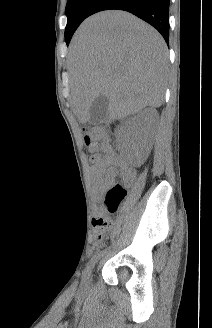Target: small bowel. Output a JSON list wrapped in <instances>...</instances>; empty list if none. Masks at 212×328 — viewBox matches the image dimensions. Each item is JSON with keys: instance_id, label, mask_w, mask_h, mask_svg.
<instances>
[{"instance_id": "1", "label": "small bowel", "mask_w": 212, "mask_h": 328, "mask_svg": "<svg viewBox=\"0 0 212 328\" xmlns=\"http://www.w3.org/2000/svg\"><path fill=\"white\" fill-rule=\"evenodd\" d=\"M92 150L95 153L89 159L91 177L99 189L105 190L112 186L117 176L121 177L127 184L133 181L135 177L134 170L122 161L109 144H98ZM96 219H94L93 224L98 229Z\"/></svg>"}]
</instances>
